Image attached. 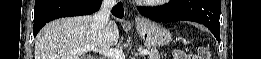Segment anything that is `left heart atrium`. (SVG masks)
<instances>
[{
  "mask_svg": "<svg viewBox=\"0 0 261 59\" xmlns=\"http://www.w3.org/2000/svg\"><path fill=\"white\" fill-rule=\"evenodd\" d=\"M140 3H156V2H161V1H155V0H138Z\"/></svg>",
  "mask_w": 261,
  "mask_h": 59,
  "instance_id": "39dd6f15",
  "label": "left heart atrium"
}]
</instances>
